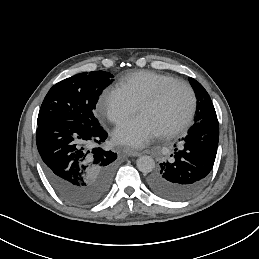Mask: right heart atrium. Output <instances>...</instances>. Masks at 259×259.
<instances>
[{
	"instance_id": "right-heart-atrium-1",
	"label": "right heart atrium",
	"mask_w": 259,
	"mask_h": 259,
	"mask_svg": "<svg viewBox=\"0 0 259 259\" xmlns=\"http://www.w3.org/2000/svg\"><path fill=\"white\" fill-rule=\"evenodd\" d=\"M100 111L106 119L119 124L138 111V105L117 87L104 88L99 97Z\"/></svg>"
}]
</instances>
